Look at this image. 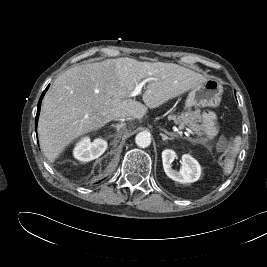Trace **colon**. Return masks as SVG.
<instances>
[{
  "instance_id": "5ec220e1",
  "label": "colon",
  "mask_w": 267,
  "mask_h": 267,
  "mask_svg": "<svg viewBox=\"0 0 267 267\" xmlns=\"http://www.w3.org/2000/svg\"><path fill=\"white\" fill-rule=\"evenodd\" d=\"M233 144H234V139L233 138H229V139H226V140H223L220 145H219V148L222 152V156H221V162L223 164H225L229 157H230V152L232 150V147H233Z\"/></svg>"
}]
</instances>
